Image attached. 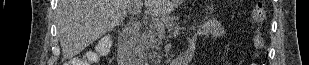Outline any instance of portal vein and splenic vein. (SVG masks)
Segmentation results:
<instances>
[{
	"label": "portal vein and splenic vein",
	"instance_id": "1",
	"mask_svg": "<svg viewBox=\"0 0 309 65\" xmlns=\"http://www.w3.org/2000/svg\"><path fill=\"white\" fill-rule=\"evenodd\" d=\"M142 2H139L135 5L134 13L137 15H142L144 18L148 19L156 28L163 30L164 29V24L157 18H155L154 13H149L148 14H142L141 12V4Z\"/></svg>",
	"mask_w": 309,
	"mask_h": 65
}]
</instances>
